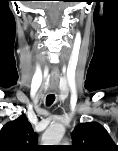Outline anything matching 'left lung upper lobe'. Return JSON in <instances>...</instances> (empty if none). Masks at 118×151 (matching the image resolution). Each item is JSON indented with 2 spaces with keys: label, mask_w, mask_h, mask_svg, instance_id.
Returning a JSON list of instances; mask_svg holds the SVG:
<instances>
[{
  "label": "left lung upper lobe",
  "mask_w": 118,
  "mask_h": 151,
  "mask_svg": "<svg viewBox=\"0 0 118 151\" xmlns=\"http://www.w3.org/2000/svg\"><path fill=\"white\" fill-rule=\"evenodd\" d=\"M71 135L72 148L76 151H118V146L113 142L106 129L99 123H81Z\"/></svg>",
  "instance_id": "1"
}]
</instances>
